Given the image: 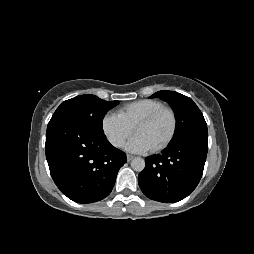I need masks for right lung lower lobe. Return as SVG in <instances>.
<instances>
[{
    "label": "right lung lower lobe",
    "instance_id": "obj_1",
    "mask_svg": "<svg viewBox=\"0 0 254 254\" xmlns=\"http://www.w3.org/2000/svg\"><path fill=\"white\" fill-rule=\"evenodd\" d=\"M45 151L55 184L77 203L107 197L127 161L126 154L112 146L104 132L66 119L49 122Z\"/></svg>",
    "mask_w": 254,
    "mask_h": 254
}]
</instances>
